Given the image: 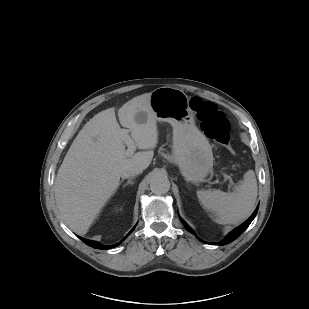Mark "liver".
Returning a JSON list of instances; mask_svg holds the SVG:
<instances>
[{
	"label": "liver",
	"instance_id": "1",
	"mask_svg": "<svg viewBox=\"0 0 309 309\" xmlns=\"http://www.w3.org/2000/svg\"><path fill=\"white\" fill-rule=\"evenodd\" d=\"M151 93L126 102L119 110L109 108L88 121L71 144L55 180V200L62 219L77 234L84 235L120 185L129 168L146 169L158 142L156 117L150 107ZM144 113V122L137 115ZM130 133L135 149L127 155L124 134Z\"/></svg>",
	"mask_w": 309,
	"mask_h": 309
}]
</instances>
